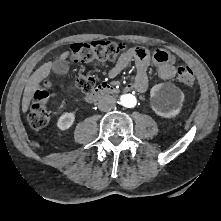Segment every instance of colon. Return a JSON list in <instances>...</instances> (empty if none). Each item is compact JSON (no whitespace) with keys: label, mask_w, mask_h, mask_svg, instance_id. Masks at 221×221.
<instances>
[{"label":"colon","mask_w":221,"mask_h":221,"mask_svg":"<svg viewBox=\"0 0 221 221\" xmlns=\"http://www.w3.org/2000/svg\"><path fill=\"white\" fill-rule=\"evenodd\" d=\"M126 44L113 41H94L91 43H76L71 46V58L76 63H86L93 60H114L126 52ZM177 80L185 86L192 87L195 77L188 67H180ZM95 76L91 72L82 73L75 79L74 85L85 94H89L95 87ZM51 81L41 83L32 95L28 121L32 128L45 127L51 117Z\"/></svg>","instance_id":"1"}]
</instances>
